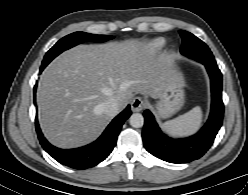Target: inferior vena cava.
<instances>
[{"label": "inferior vena cava", "instance_id": "obj_1", "mask_svg": "<svg viewBox=\"0 0 248 195\" xmlns=\"http://www.w3.org/2000/svg\"><path fill=\"white\" fill-rule=\"evenodd\" d=\"M101 110L108 116L114 117L119 111V103L115 98H109L101 104Z\"/></svg>", "mask_w": 248, "mask_h": 195}]
</instances>
